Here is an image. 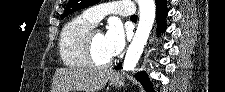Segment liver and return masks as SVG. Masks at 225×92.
<instances>
[{"mask_svg": "<svg viewBox=\"0 0 225 92\" xmlns=\"http://www.w3.org/2000/svg\"><path fill=\"white\" fill-rule=\"evenodd\" d=\"M111 71L104 69H56L51 92H98L108 82Z\"/></svg>", "mask_w": 225, "mask_h": 92, "instance_id": "obj_1", "label": "liver"}]
</instances>
